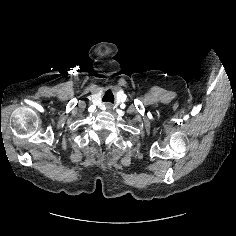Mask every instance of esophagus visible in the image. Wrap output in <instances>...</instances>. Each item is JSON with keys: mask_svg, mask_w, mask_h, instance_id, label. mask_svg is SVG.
Returning a JSON list of instances; mask_svg holds the SVG:
<instances>
[{"mask_svg": "<svg viewBox=\"0 0 236 236\" xmlns=\"http://www.w3.org/2000/svg\"><path fill=\"white\" fill-rule=\"evenodd\" d=\"M105 107H106V109H107L108 111H110V110L112 109V105L109 104V103H106V104H105Z\"/></svg>", "mask_w": 236, "mask_h": 236, "instance_id": "obj_1", "label": "esophagus"}]
</instances>
